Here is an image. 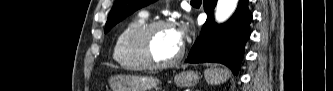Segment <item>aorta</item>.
<instances>
[{
    "instance_id": "aorta-1",
    "label": "aorta",
    "mask_w": 333,
    "mask_h": 91,
    "mask_svg": "<svg viewBox=\"0 0 333 91\" xmlns=\"http://www.w3.org/2000/svg\"><path fill=\"white\" fill-rule=\"evenodd\" d=\"M238 0H218L215 19L218 23L226 21L235 11Z\"/></svg>"
}]
</instances>
